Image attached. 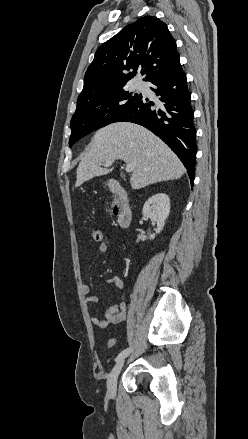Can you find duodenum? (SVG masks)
I'll use <instances>...</instances> for the list:
<instances>
[{"label":"duodenum","mask_w":248,"mask_h":439,"mask_svg":"<svg viewBox=\"0 0 248 439\" xmlns=\"http://www.w3.org/2000/svg\"><path fill=\"white\" fill-rule=\"evenodd\" d=\"M109 189L115 196L113 213L119 226L126 228L132 223L133 219V212L130 206L128 193L117 180H112L110 182Z\"/></svg>","instance_id":"410a0bca"}]
</instances>
